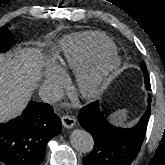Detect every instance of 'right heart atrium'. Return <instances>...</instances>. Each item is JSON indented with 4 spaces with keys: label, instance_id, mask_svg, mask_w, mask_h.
Returning <instances> with one entry per match:
<instances>
[{
    "label": "right heart atrium",
    "instance_id": "1",
    "mask_svg": "<svg viewBox=\"0 0 165 165\" xmlns=\"http://www.w3.org/2000/svg\"><path fill=\"white\" fill-rule=\"evenodd\" d=\"M65 80L64 73L57 67L50 69L45 75V84L53 88H59Z\"/></svg>",
    "mask_w": 165,
    "mask_h": 165
}]
</instances>
